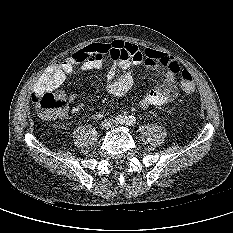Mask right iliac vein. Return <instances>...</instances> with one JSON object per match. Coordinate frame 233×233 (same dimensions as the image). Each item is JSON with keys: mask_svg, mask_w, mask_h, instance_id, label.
Returning <instances> with one entry per match:
<instances>
[{"mask_svg": "<svg viewBox=\"0 0 233 233\" xmlns=\"http://www.w3.org/2000/svg\"><path fill=\"white\" fill-rule=\"evenodd\" d=\"M110 124H111V121L110 120H106V121L103 122L102 126L104 128H108L110 126Z\"/></svg>", "mask_w": 233, "mask_h": 233, "instance_id": "right-iliac-vein-1", "label": "right iliac vein"}]
</instances>
